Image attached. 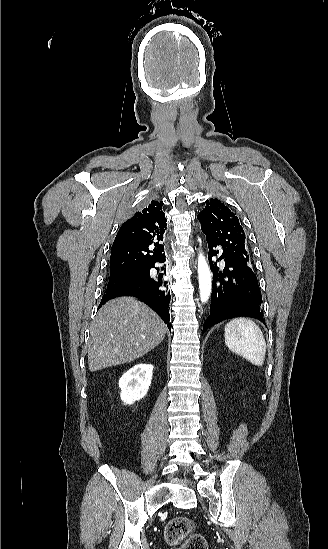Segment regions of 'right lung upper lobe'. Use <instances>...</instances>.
<instances>
[{
  "label": "right lung upper lobe",
  "instance_id": "cb5924a9",
  "mask_svg": "<svg viewBox=\"0 0 328 549\" xmlns=\"http://www.w3.org/2000/svg\"><path fill=\"white\" fill-rule=\"evenodd\" d=\"M162 205L152 200L120 227L112 245L110 275L148 270L165 255L161 241L167 219Z\"/></svg>",
  "mask_w": 328,
  "mask_h": 549
}]
</instances>
